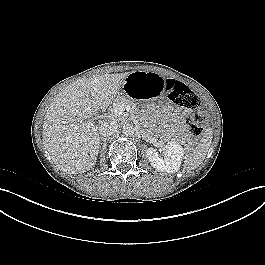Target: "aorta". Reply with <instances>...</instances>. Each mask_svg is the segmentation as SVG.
Wrapping results in <instances>:
<instances>
[{
    "mask_svg": "<svg viewBox=\"0 0 265 265\" xmlns=\"http://www.w3.org/2000/svg\"><path fill=\"white\" fill-rule=\"evenodd\" d=\"M135 130L132 124L130 123H124L122 127V133L126 136H132L134 134Z\"/></svg>",
    "mask_w": 265,
    "mask_h": 265,
    "instance_id": "aorta-1",
    "label": "aorta"
}]
</instances>
